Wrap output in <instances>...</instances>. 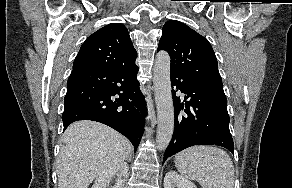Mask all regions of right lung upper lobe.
I'll return each instance as SVG.
<instances>
[{"label":"right lung upper lobe","mask_w":292,"mask_h":188,"mask_svg":"<svg viewBox=\"0 0 292 188\" xmlns=\"http://www.w3.org/2000/svg\"><path fill=\"white\" fill-rule=\"evenodd\" d=\"M137 52L127 28L111 23L90 35L82 44L74 68H127L135 65Z\"/></svg>","instance_id":"1"}]
</instances>
